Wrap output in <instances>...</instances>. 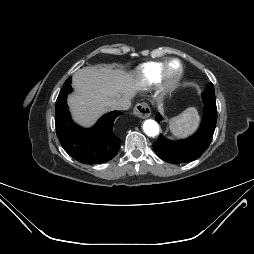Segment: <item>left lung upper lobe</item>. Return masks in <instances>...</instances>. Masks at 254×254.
Wrapping results in <instances>:
<instances>
[{
  "label": "left lung upper lobe",
  "mask_w": 254,
  "mask_h": 254,
  "mask_svg": "<svg viewBox=\"0 0 254 254\" xmlns=\"http://www.w3.org/2000/svg\"><path fill=\"white\" fill-rule=\"evenodd\" d=\"M206 90L207 91H214L213 84L211 82L207 84Z\"/></svg>",
  "instance_id": "5c2ea615"
}]
</instances>
